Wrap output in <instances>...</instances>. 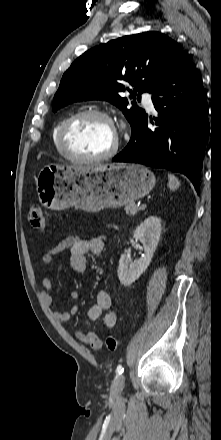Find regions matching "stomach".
I'll return each instance as SVG.
<instances>
[{
  "instance_id": "obj_1",
  "label": "stomach",
  "mask_w": 221,
  "mask_h": 440,
  "mask_svg": "<svg viewBox=\"0 0 221 440\" xmlns=\"http://www.w3.org/2000/svg\"><path fill=\"white\" fill-rule=\"evenodd\" d=\"M155 185L154 174L138 164L108 163L86 166H45L36 179L43 206L69 207L89 212L120 207L147 195Z\"/></svg>"
}]
</instances>
